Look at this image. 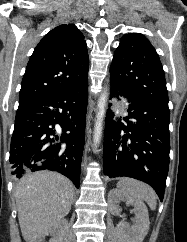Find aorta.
Here are the masks:
<instances>
[{"label":"aorta","instance_id":"1","mask_svg":"<svg viewBox=\"0 0 187 242\" xmlns=\"http://www.w3.org/2000/svg\"><path fill=\"white\" fill-rule=\"evenodd\" d=\"M107 103V92L104 91L98 100V110L96 114L95 124H94V133H93V143L97 147L99 145L103 129V119L105 117V109Z\"/></svg>","mask_w":187,"mask_h":242}]
</instances>
